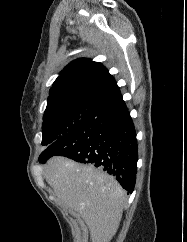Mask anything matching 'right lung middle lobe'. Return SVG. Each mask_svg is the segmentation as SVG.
<instances>
[{
  "label": "right lung middle lobe",
  "mask_w": 187,
  "mask_h": 242,
  "mask_svg": "<svg viewBox=\"0 0 187 242\" xmlns=\"http://www.w3.org/2000/svg\"><path fill=\"white\" fill-rule=\"evenodd\" d=\"M103 110V107L88 104H69L45 111L42 145L49 146L66 133L96 118Z\"/></svg>",
  "instance_id": "right-lung-middle-lobe-1"
}]
</instances>
